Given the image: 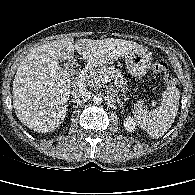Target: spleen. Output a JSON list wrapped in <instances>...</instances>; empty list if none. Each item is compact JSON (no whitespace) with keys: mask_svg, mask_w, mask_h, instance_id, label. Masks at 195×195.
<instances>
[{"mask_svg":"<svg viewBox=\"0 0 195 195\" xmlns=\"http://www.w3.org/2000/svg\"><path fill=\"white\" fill-rule=\"evenodd\" d=\"M179 99V89L175 86L168 87L163 92L161 105L158 108L152 111L140 109L137 112V125L147 131L152 138L162 137L175 120Z\"/></svg>","mask_w":195,"mask_h":195,"instance_id":"spleen-1","label":"spleen"}]
</instances>
